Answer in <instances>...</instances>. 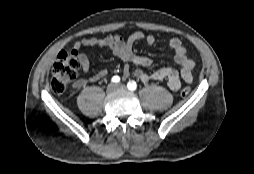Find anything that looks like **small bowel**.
<instances>
[{
  "label": "small bowel",
  "instance_id": "c3829d8e",
  "mask_svg": "<svg viewBox=\"0 0 254 174\" xmlns=\"http://www.w3.org/2000/svg\"><path fill=\"white\" fill-rule=\"evenodd\" d=\"M141 40H144L147 45H153L155 43V37L153 35H145L142 31L133 32L126 39H123L118 35L81 39L74 44V48L78 53L77 58L79 67L84 73L88 72L90 68V61L87 55L78 52L82 47L108 48L116 57L128 64L124 69V76L132 74L144 83L165 80L167 81L169 88L174 91L180 89L181 81L192 83L195 63L188 56L186 48L178 38L169 40L168 47L173 51L174 62L180 66V70L171 67H163L151 72H145L142 69L131 70L129 64L150 67L153 63L149 57L141 56L134 52V44ZM107 73L108 71L106 69H102L87 79L81 78L76 80L73 83V87L81 89L85 87L88 82L104 78Z\"/></svg>",
  "mask_w": 254,
  "mask_h": 174
}]
</instances>
